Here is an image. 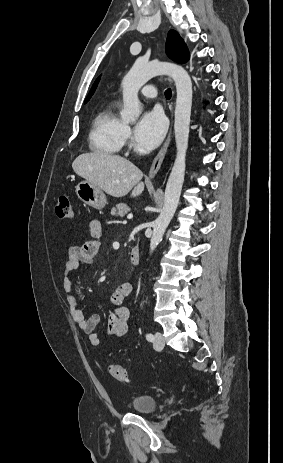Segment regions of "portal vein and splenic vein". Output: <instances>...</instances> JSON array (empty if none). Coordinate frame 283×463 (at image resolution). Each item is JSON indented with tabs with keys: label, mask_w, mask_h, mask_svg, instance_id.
Masks as SVG:
<instances>
[{
	"label": "portal vein and splenic vein",
	"mask_w": 283,
	"mask_h": 463,
	"mask_svg": "<svg viewBox=\"0 0 283 463\" xmlns=\"http://www.w3.org/2000/svg\"><path fill=\"white\" fill-rule=\"evenodd\" d=\"M132 217H133V214H129V215L127 216L128 219H131Z\"/></svg>",
	"instance_id": "1"
}]
</instances>
